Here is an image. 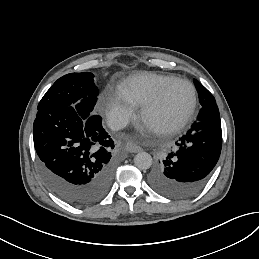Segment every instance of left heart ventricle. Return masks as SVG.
Returning a JSON list of instances; mask_svg holds the SVG:
<instances>
[{"label": "left heart ventricle", "instance_id": "left-heart-ventricle-1", "mask_svg": "<svg viewBox=\"0 0 259 259\" xmlns=\"http://www.w3.org/2000/svg\"><path fill=\"white\" fill-rule=\"evenodd\" d=\"M190 100L189 86L182 81L175 82L166 91L162 103L143 120L148 122L155 132L162 130L188 106Z\"/></svg>", "mask_w": 259, "mask_h": 259}]
</instances>
